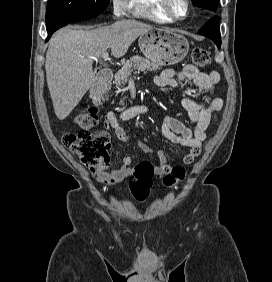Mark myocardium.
I'll use <instances>...</instances> for the list:
<instances>
[{"label": "myocardium", "instance_id": "obj_1", "mask_svg": "<svg viewBox=\"0 0 272 282\" xmlns=\"http://www.w3.org/2000/svg\"><path fill=\"white\" fill-rule=\"evenodd\" d=\"M159 7L161 8V10L171 19L176 20V21H180L185 19L191 10V5H190V1L189 0H181L185 6V12L183 15H179L177 13H175V11L173 10L172 4L174 2V0H159Z\"/></svg>", "mask_w": 272, "mask_h": 282}]
</instances>
